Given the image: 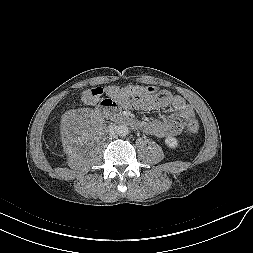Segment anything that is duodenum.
<instances>
[{
    "label": "duodenum",
    "mask_w": 253,
    "mask_h": 253,
    "mask_svg": "<svg viewBox=\"0 0 253 253\" xmlns=\"http://www.w3.org/2000/svg\"><path fill=\"white\" fill-rule=\"evenodd\" d=\"M101 112L108 115L116 123L125 124L128 126H131L132 128H139L141 126V123H139L134 118L121 114L117 112L116 110L105 108V109H102Z\"/></svg>",
    "instance_id": "1"
}]
</instances>
